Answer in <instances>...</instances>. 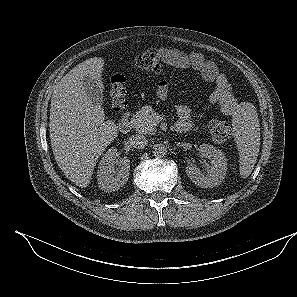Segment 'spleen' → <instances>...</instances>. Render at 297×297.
I'll return each instance as SVG.
<instances>
[{"instance_id": "1", "label": "spleen", "mask_w": 297, "mask_h": 297, "mask_svg": "<svg viewBox=\"0 0 297 297\" xmlns=\"http://www.w3.org/2000/svg\"><path fill=\"white\" fill-rule=\"evenodd\" d=\"M233 136L239 151V170L242 178L254 169L260 147V124L252 104H243L232 119Z\"/></svg>"}]
</instances>
